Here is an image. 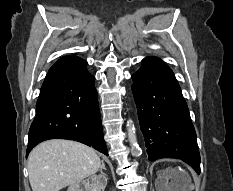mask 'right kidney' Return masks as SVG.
<instances>
[{
	"label": "right kidney",
	"instance_id": "1",
	"mask_svg": "<svg viewBox=\"0 0 233 191\" xmlns=\"http://www.w3.org/2000/svg\"><path fill=\"white\" fill-rule=\"evenodd\" d=\"M104 177V176H103ZM87 191H104L107 185V179H102L100 176L93 175L88 180L87 183L83 182ZM67 191H83L79 185H72Z\"/></svg>",
	"mask_w": 233,
	"mask_h": 191
}]
</instances>
